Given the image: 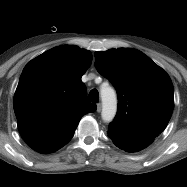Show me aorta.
Here are the masks:
<instances>
[{
    "label": "aorta",
    "instance_id": "aorta-1",
    "mask_svg": "<svg viewBox=\"0 0 187 187\" xmlns=\"http://www.w3.org/2000/svg\"><path fill=\"white\" fill-rule=\"evenodd\" d=\"M100 94L102 99V119L105 122H110L115 117L117 111L116 93L110 86L103 85Z\"/></svg>",
    "mask_w": 187,
    "mask_h": 187
}]
</instances>
